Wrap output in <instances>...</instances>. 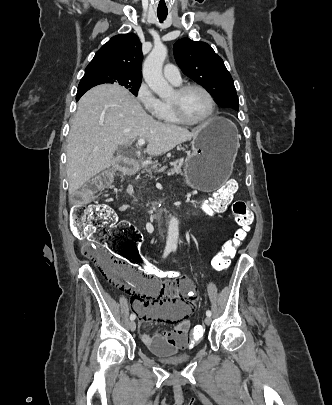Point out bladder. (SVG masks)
Returning a JSON list of instances; mask_svg holds the SVG:
<instances>
[{
	"label": "bladder",
	"instance_id": "31cf9c89",
	"mask_svg": "<svg viewBox=\"0 0 332 405\" xmlns=\"http://www.w3.org/2000/svg\"><path fill=\"white\" fill-rule=\"evenodd\" d=\"M148 351L156 356L160 361L171 364L186 363L191 359V354L178 352L174 348H168L166 352H158L157 350L148 347Z\"/></svg>",
	"mask_w": 332,
	"mask_h": 405
}]
</instances>
